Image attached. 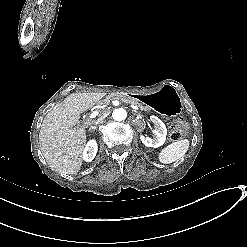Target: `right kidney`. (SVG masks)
Wrapping results in <instances>:
<instances>
[{
	"instance_id": "1",
	"label": "right kidney",
	"mask_w": 247,
	"mask_h": 247,
	"mask_svg": "<svg viewBox=\"0 0 247 247\" xmlns=\"http://www.w3.org/2000/svg\"><path fill=\"white\" fill-rule=\"evenodd\" d=\"M97 153V143L96 141H90L84 151V159L88 162H91Z\"/></svg>"
}]
</instances>
